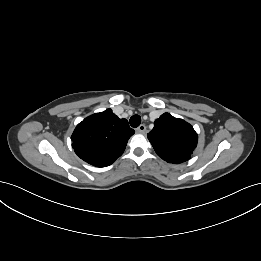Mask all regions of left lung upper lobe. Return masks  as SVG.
Listing matches in <instances>:
<instances>
[{
    "label": "left lung upper lobe",
    "instance_id": "5c2ea615",
    "mask_svg": "<svg viewBox=\"0 0 261 261\" xmlns=\"http://www.w3.org/2000/svg\"><path fill=\"white\" fill-rule=\"evenodd\" d=\"M148 139L163 160L179 164L189 160L197 146L198 136L186 121L164 113L154 122Z\"/></svg>",
    "mask_w": 261,
    "mask_h": 261
}]
</instances>
